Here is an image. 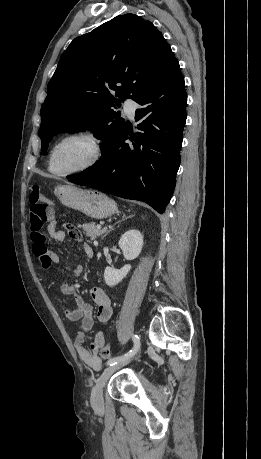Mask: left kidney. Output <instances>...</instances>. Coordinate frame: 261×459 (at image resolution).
I'll use <instances>...</instances> for the list:
<instances>
[{
  "instance_id": "obj_1",
  "label": "left kidney",
  "mask_w": 261,
  "mask_h": 459,
  "mask_svg": "<svg viewBox=\"0 0 261 459\" xmlns=\"http://www.w3.org/2000/svg\"><path fill=\"white\" fill-rule=\"evenodd\" d=\"M118 245L123 251L124 258L133 260L142 250L143 235L138 230H129L121 236ZM130 270V264L124 265L121 269L106 267L104 271L105 283L110 287L117 285L127 276Z\"/></svg>"
}]
</instances>
